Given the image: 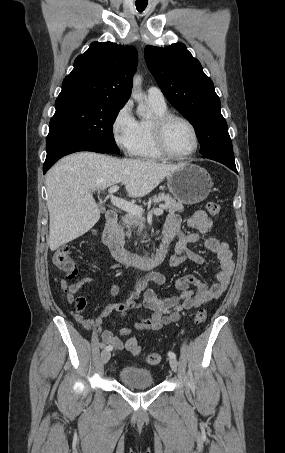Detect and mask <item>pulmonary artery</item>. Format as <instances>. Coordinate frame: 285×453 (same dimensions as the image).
<instances>
[{
	"label": "pulmonary artery",
	"instance_id": "pulmonary-artery-1",
	"mask_svg": "<svg viewBox=\"0 0 285 453\" xmlns=\"http://www.w3.org/2000/svg\"><path fill=\"white\" fill-rule=\"evenodd\" d=\"M147 99L149 102L158 104V105H166L165 97L163 92L160 88L156 86H151L147 90Z\"/></svg>",
	"mask_w": 285,
	"mask_h": 453
}]
</instances>
